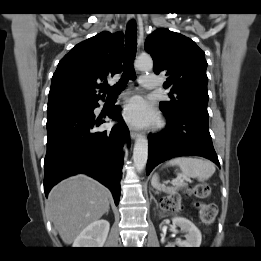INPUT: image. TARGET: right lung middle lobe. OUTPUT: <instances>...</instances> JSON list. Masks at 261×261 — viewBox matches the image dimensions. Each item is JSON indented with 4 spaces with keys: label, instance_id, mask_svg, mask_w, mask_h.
<instances>
[{
    "label": "right lung middle lobe",
    "instance_id": "1",
    "mask_svg": "<svg viewBox=\"0 0 261 261\" xmlns=\"http://www.w3.org/2000/svg\"><path fill=\"white\" fill-rule=\"evenodd\" d=\"M91 104V101L78 99H55L48 101L47 113H52L66 108H86Z\"/></svg>",
    "mask_w": 261,
    "mask_h": 261
}]
</instances>
